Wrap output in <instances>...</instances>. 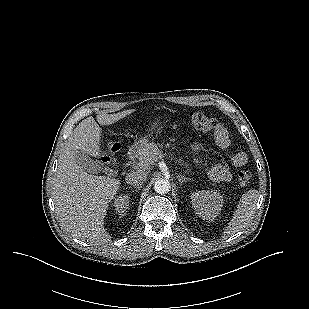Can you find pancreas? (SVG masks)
<instances>
[{"label":"pancreas","mask_w":309,"mask_h":309,"mask_svg":"<svg viewBox=\"0 0 309 309\" xmlns=\"http://www.w3.org/2000/svg\"><path fill=\"white\" fill-rule=\"evenodd\" d=\"M162 157H163V154L158 149L155 143H147L140 150L138 159L140 163H142L145 166H148ZM178 162L183 164V160H181V158L178 160ZM185 165L188 166V164H185Z\"/></svg>","instance_id":"obj_1"}]
</instances>
